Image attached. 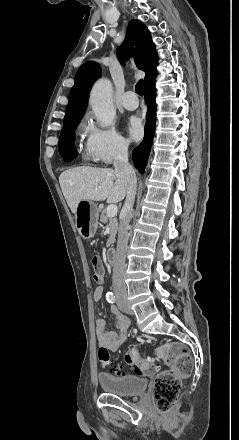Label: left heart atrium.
I'll return each instance as SVG.
<instances>
[{
	"instance_id": "obj_1",
	"label": "left heart atrium",
	"mask_w": 239,
	"mask_h": 440,
	"mask_svg": "<svg viewBox=\"0 0 239 440\" xmlns=\"http://www.w3.org/2000/svg\"><path fill=\"white\" fill-rule=\"evenodd\" d=\"M125 126L129 136L132 139H138L141 137L143 128L140 120L134 116H130L125 121Z\"/></svg>"
}]
</instances>
